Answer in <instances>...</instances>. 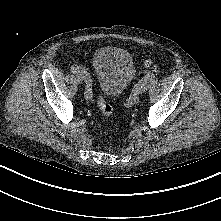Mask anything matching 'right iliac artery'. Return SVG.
I'll return each mask as SVG.
<instances>
[{"mask_svg": "<svg viewBox=\"0 0 221 221\" xmlns=\"http://www.w3.org/2000/svg\"><path fill=\"white\" fill-rule=\"evenodd\" d=\"M71 71L75 74L81 75L82 78H84V80H85L84 97L86 100L92 99L93 98V84H92V80H91L89 74L87 73V71L78 67L77 65H73L71 67Z\"/></svg>", "mask_w": 221, "mask_h": 221, "instance_id": "right-iliac-artery-1", "label": "right iliac artery"}]
</instances>
